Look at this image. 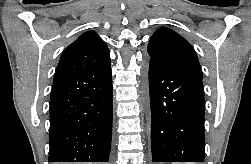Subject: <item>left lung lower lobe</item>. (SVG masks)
<instances>
[{"instance_id": "1", "label": "left lung lower lobe", "mask_w": 251, "mask_h": 164, "mask_svg": "<svg viewBox=\"0 0 251 164\" xmlns=\"http://www.w3.org/2000/svg\"><path fill=\"white\" fill-rule=\"evenodd\" d=\"M153 162H204L205 100L202 78L147 61Z\"/></svg>"}]
</instances>
